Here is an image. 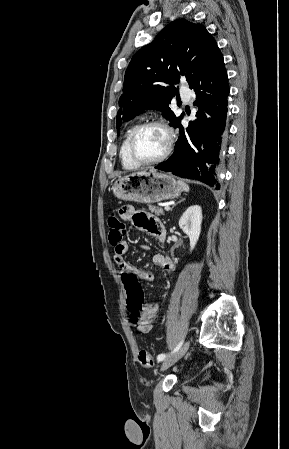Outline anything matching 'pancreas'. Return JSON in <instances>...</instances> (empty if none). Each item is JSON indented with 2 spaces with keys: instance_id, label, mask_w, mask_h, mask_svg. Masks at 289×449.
<instances>
[{
  "instance_id": "cf45deb5",
  "label": "pancreas",
  "mask_w": 289,
  "mask_h": 449,
  "mask_svg": "<svg viewBox=\"0 0 289 449\" xmlns=\"http://www.w3.org/2000/svg\"><path fill=\"white\" fill-rule=\"evenodd\" d=\"M148 207H149V210H150L152 213H155V214L158 215V216L164 215V211H163L162 208L157 207V206H153V205H149Z\"/></svg>"
}]
</instances>
